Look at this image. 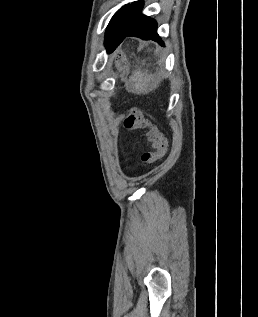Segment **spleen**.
Listing matches in <instances>:
<instances>
[{
	"label": "spleen",
	"mask_w": 258,
	"mask_h": 317,
	"mask_svg": "<svg viewBox=\"0 0 258 317\" xmlns=\"http://www.w3.org/2000/svg\"><path fill=\"white\" fill-rule=\"evenodd\" d=\"M131 92L136 94H146L152 88L158 86V80L153 78V74H147V72H141V70H135L132 76H130Z\"/></svg>",
	"instance_id": "3e777b00"
}]
</instances>
